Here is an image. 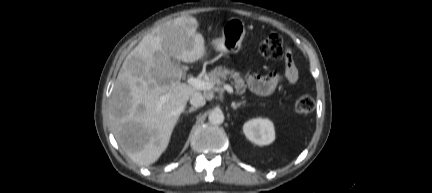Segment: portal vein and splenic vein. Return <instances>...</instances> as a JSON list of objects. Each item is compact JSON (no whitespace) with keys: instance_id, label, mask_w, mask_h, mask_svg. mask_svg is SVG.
<instances>
[{"instance_id":"1","label":"portal vein and splenic vein","mask_w":432,"mask_h":193,"mask_svg":"<svg viewBox=\"0 0 432 193\" xmlns=\"http://www.w3.org/2000/svg\"><path fill=\"white\" fill-rule=\"evenodd\" d=\"M188 84L193 86L194 88L198 90H211L214 88V83L211 81H204L199 78L190 77L187 80ZM224 89L230 93L233 94V88L229 84H224Z\"/></svg>"}]
</instances>
